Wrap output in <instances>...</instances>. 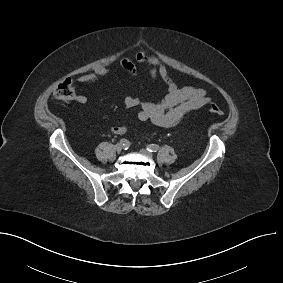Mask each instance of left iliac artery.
<instances>
[{"instance_id":"obj_1","label":"left iliac artery","mask_w":283,"mask_h":283,"mask_svg":"<svg viewBox=\"0 0 283 283\" xmlns=\"http://www.w3.org/2000/svg\"><path fill=\"white\" fill-rule=\"evenodd\" d=\"M159 148L160 147L156 144L147 145V150H149L150 152H157Z\"/></svg>"}]
</instances>
